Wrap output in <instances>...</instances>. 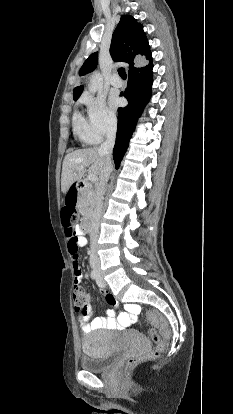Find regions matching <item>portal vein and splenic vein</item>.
Returning a JSON list of instances; mask_svg holds the SVG:
<instances>
[{"label":"portal vein and splenic vein","instance_id":"1","mask_svg":"<svg viewBox=\"0 0 233 414\" xmlns=\"http://www.w3.org/2000/svg\"><path fill=\"white\" fill-rule=\"evenodd\" d=\"M76 162H80V161H76ZM88 180L91 182H96L97 181V176L94 174H89L88 175Z\"/></svg>","mask_w":233,"mask_h":414}]
</instances>
